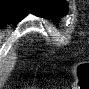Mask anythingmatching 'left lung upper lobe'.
<instances>
[{
	"mask_svg": "<svg viewBox=\"0 0 89 89\" xmlns=\"http://www.w3.org/2000/svg\"><path fill=\"white\" fill-rule=\"evenodd\" d=\"M34 13L44 18H58L67 12V5L62 0H32Z\"/></svg>",
	"mask_w": 89,
	"mask_h": 89,
	"instance_id": "1",
	"label": "left lung upper lobe"
}]
</instances>
